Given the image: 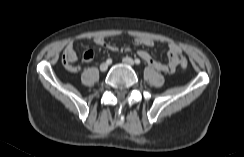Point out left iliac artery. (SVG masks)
I'll use <instances>...</instances> for the list:
<instances>
[{"instance_id": "1", "label": "left iliac artery", "mask_w": 244, "mask_h": 157, "mask_svg": "<svg viewBox=\"0 0 244 157\" xmlns=\"http://www.w3.org/2000/svg\"><path fill=\"white\" fill-rule=\"evenodd\" d=\"M135 63H136L137 65H139V64L141 63L140 59L136 58V59H135Z\"/></svg>"}]
</instances>
